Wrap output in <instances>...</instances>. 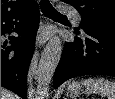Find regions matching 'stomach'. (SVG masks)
I'll return each mask as SVG.
<instances>
[{
    "instance_id": "stomach-1",
    "label": "stomach",
    "mask_w": 115,
    "mask_h": 99,
    "mask_svg": "<svg viewBox=\"0 0 115 99\" xmlns=\"http://www.w3.org/2000/svg\"><path fill=\"white\" fill-rule=\"evenodd\" d=\"M68 90L72 93L77 94L78 92H80L81 86L77 82H74L68 85Z\"/></svg>"
}]
</instances>
